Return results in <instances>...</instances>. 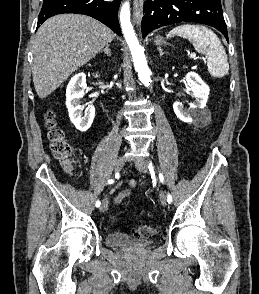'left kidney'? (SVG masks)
<instances>
[{
	"label": "left kidney",
	"mask_w": 259,
	"mask_h": 294,
	"mask_svg": "<svg viewBox=\"0 0 259 294\" xmlns=\"http://www.w3.org/2000/svg\"><path fill=\"white\" fill-rule=\"evenodd\" d=\"M186 82L195 97V101L189 104L188 109H184L183 104L176 101L173 104V109L176 116L181 121L186 123H195L200 120L203 109L206 106L209 95V87L195 72L187 73Z\"/></svg>",
	"instance_id": "obj_1"
}]
</instances>
